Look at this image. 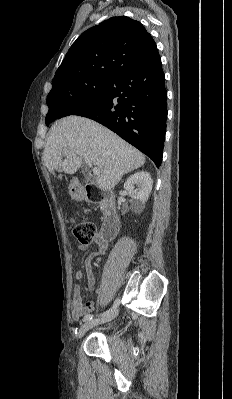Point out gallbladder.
<instances>
[{"label": "gallbladder", "mask_w": 232, "mask_h": 399, "mask_svg": "<svg viewBox=\"0 0 232 399\" xmlns=\"http://www.w3.org/2000/svg\"><path fill=\"white\" fill-rule=\"evenodd\" d=\"M81 169L83 170V175L85 177H88L90 175V168L88 167L87 163H82ZM84 184L85 186H89V184H91V180H84Z\"/></svg>", "instance_id": "bac80fb5"}]
</instances>
